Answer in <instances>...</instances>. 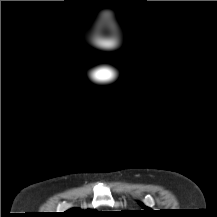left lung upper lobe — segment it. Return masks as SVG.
<instances>
[{
  "label": "left lung upper lobe",
  "instance_id": "5c2ea615",
  "mask_svg": "<svg viewBox=\"0 0 217 217\" xmlns=\"http://www.w3.org/2000/svg\"><path fill=\"white\" fill-rule=\"evenodd\" d=\"M139 204H140L143 208H145L146 210H150L148 207L144 206L143 203H140V202H139Z\"/></svg>",
  "mask_w": 217,
  "mask_h": 217
}]
</instances>
